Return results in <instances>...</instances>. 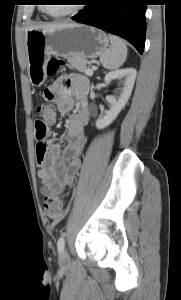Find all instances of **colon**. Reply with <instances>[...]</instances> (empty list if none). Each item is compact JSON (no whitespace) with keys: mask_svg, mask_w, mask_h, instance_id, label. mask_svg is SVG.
<instances>
[{"mask_svg":"<svg viewBox=\"0 0 181 300\" xmlns=\"http://www.w3.org/2000/svg\"><path fill=\"white\" fill-rule=\"evenodd\" d=\"M65 66V61L61 58H52L47 65V75L53 76ZM46 102L38 104L35 107V113L41 119L35 122L34 130L37 144H43L48 136L47 123L52 122L56 117V109L53 102V97L50 94H45ZM44 212L47 218L52 222H58L63 219V196L54 193L45 198Z\"/></svg>","mask_w":181,"mask_h":300,"instance_id":"obj_1","label":"colon"}]
</instances>
